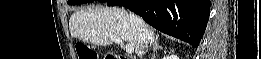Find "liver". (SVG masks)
I'll use <instances>...</instances> for the list:
<instances>
[{
    "label": "liver",
    "instance_id": "1",
    "mask_svg": "<svg viewBox=\"0 0 261 59\" xmlns=\"http://www.w3.org/2000/svg\"><path fill=\"white\" fill-rule=\"evenodd\" d=\"M146 26L151 33L149 44H154L158 36L153 28ZM69 29L72 37L98 46L111 45L113 41L110 36L121 38L134 47L140 59L148 49L138 32L131 27L129 14L123 8L90 6L78 9L70 17Z\"/></svg>",
    "mask_w": 261,
    "mask_h": 59
}]
</instances>
